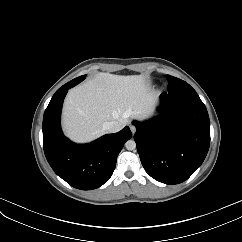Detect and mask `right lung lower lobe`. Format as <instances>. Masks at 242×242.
Segmentation results:
<instances>
[{
  "label": "right lung lower lobe",
  "mask_w": 242,
  "mask_h": 242,
  "mask_svg": "<svg viewBox=\"0 0 242 242\" xmlns=\"http://www.w3.org/2000/svg\"><path fill=\"white\" fill-rule=\"evenodd\" d=\"M79 80L63 85L53 95L43 117V147L54 172L69 185L92 190L109 180L116 166L117 156L124 143L132 137L130 128L107 134L89 144H75L64 137L60 117L68 89Z\"/></svg>",
  "instance_id": "1"
}]
</instances>
